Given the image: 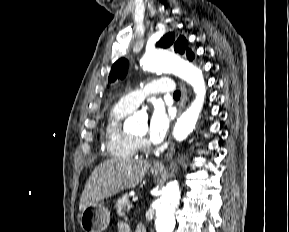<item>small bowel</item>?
Segmentation results:
<instances>
[{"label":"small bowel","instance_id":"obj_1","mask_svg":"<svg viewBox=\"0 0 289 232\" xmlns=\"http://www.w3.org/2000/svg\"><path fill=\"white\" fill-rule=\"evenodd\" d=\"M118 232H132V230L127 223L119 222L118 223Z\"/></svg>","mask_w":289,"mask_h":232}]
</instances>
